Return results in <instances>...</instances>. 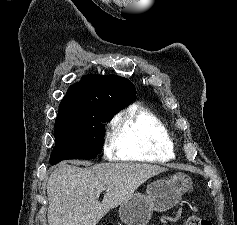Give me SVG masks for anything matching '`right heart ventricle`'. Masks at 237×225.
Returning <instances> with one entry per match:
<instances>
[{"label":"right heart ventricle","mask_w":237,"mask_h":225,"mask_svg":"<svg viewBox=\"0 0 237 225\" xmlns=\"http://www.w3.org/2000/svg\"><path fill=\"white\" fill-rule=\"evenodd\" d=\"M113 125L115 160L163 162L174 157V141L167 126L147 109L132 107Z\"/></svg>","instance_id":"obj_1"}]
</instances>
